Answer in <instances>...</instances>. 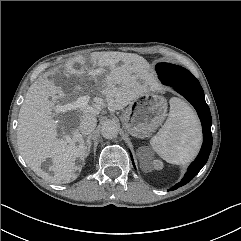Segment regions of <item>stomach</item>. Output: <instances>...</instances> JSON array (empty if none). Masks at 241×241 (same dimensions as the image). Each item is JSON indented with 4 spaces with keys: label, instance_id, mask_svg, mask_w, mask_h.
<instances>
[{
    "label": "stomach",
    "instance_id": "obj_1",
    "mask_svg": "<svg viewBox=\"0 0 241 241\" xmlns=\"http://www.w3.org/2000/svg\"><path fill=\"white\" fill-rule=\"evenodd\" d=\"M167 115L165 98L147 91L133 100L121 115L125 129L138 138L151 135L162 125Z\"/></svg>",
    "mask_w": 241,
    "mask_h": 241
}]
</instances>
